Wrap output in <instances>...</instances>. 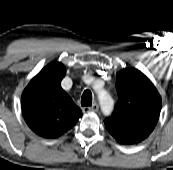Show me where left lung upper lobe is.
<instances>
[{
	"label": "left lung upper lobe",
	"instance_id": "1",
	"mask_svg": "<svg viewBox=\"0 0 173 170\" xmlns=\"http://www.w3.org/2000/svg\"><path fill=\"white\" fill-rule=\"evenodd\" d=\"M116 89L119 101L112 116L105 119V127L120 144L139 143L158 122L161 96L151 81L134 68L118 73Z\"/></svg>",
	"mask_w": 173,
	"mask_h": 170
}]
</instances>
